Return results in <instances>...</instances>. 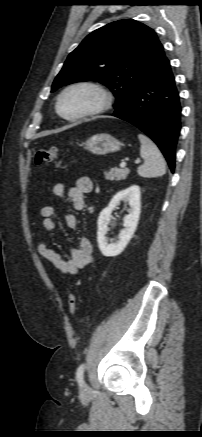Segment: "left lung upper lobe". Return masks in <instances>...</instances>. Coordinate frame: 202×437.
<instances>
[{
  "instance_id": "5c2ea615",
  "label": "left lung upper lobe",
  "mask_w": 202,
  "mask_h": 437,
  "mask_svg": "<svg viewBox=\"0 0 202 437\" xmlns=\"http://www.w3.org/2000/svg\"><path fill=\"white\" fill-rule=\"evenodd\" d=\"M166 60L163 46L148 26L132 20L107 24L91 34L68 56L51 92L74 82L96 80L121 106Z\"/></svg>"
}]
</instances>
